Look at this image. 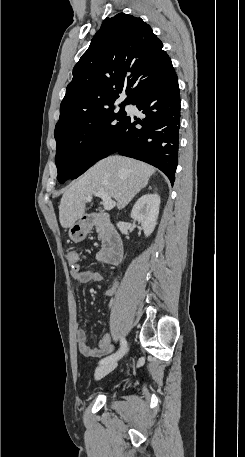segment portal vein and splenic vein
Masks as SVG:
<instances>
[{
  "mask_svg": "<svg viewBox=\"0 0 245 457\" xmlns=\"http://www.w3.org/2000/svg\"><path fill=\"white\" fill-rule=\"evenodd\" d=\"M95 196H100V198H102L103 200V206L104 208H106V210H111V208H113V206H115L116 202L115 200H112L111 196H109L108 192H101V190H97V192H94ZM85 200H88V202H90V200H92V196H87V198H85Z\"/></svg>",
  "mask_w": 245,
  "mask_h": 457,
  "instance_id": "obj_1",
  "label": "portal vein and splenic vein"
}]
</instances>
